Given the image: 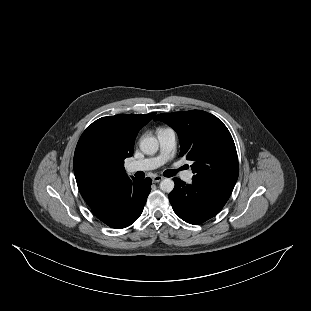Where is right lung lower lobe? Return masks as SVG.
<instances>
[{"label":"right lung lower lobe","mask_w":311,"mask_h":311,"mask_svg":"<svg viewBox=\"0 0 311 311\" xmlns=\"http://www.w3.org/2000/svg\"><path fill=\"white\" fill-rule=\"evenodd\" d=\"M151 183L150 178H134L98 199L90 208L106 225L116 229L125 228L141 215L151 191Z\"/></svg>","instance_id":"98d812e1"}]
</instances>
